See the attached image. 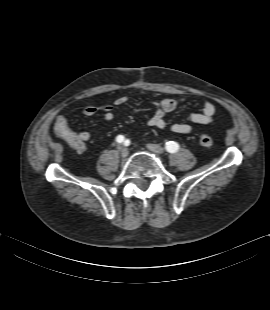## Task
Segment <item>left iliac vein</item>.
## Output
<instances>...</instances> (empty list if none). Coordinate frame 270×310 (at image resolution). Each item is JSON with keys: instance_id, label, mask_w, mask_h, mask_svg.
Masks as SVG:
<instances>
[{"instance_id": "4c4485c4", "label": "left iliac vein", "mask_w": 270, "mask_h": 310, "mask_svg": "<svg viewBox=\"0 0 270 310\" xmlns=\"http://www.w3.org/2000/svg\"><path fill=\"white\" fill-rule=\"evenodd\" d=\"M147 148L150 151L158 153V154H162L164 152V149L161 146L156 145V144H148Z\"/></svg>"}]
</instances>
